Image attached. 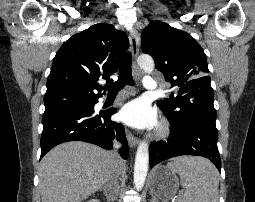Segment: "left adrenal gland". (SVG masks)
I'll list each match as a JSON object with an SVG mask.
<instances>
[{
    "label": "left adrenal gland",
    "mask_w": 255,
    "mask_h": 202,
    "mask_svg": "<svg viewBox=\"0 0 255 202\" xmlns=\"http://www.w3.org/2000/svg\"><path fill=\"white\" fill-rule=\"evenodd\" d=\"M150 202H158V201H157L156 198L152 195V199H151Z\"/></svg>",
    "instance_id": "left-adrenal-gland-1"
}]
</instances>
